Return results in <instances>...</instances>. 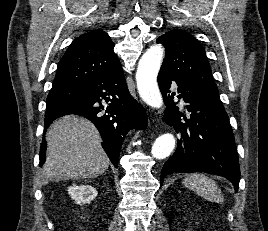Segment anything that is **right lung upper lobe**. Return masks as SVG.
<instances>
[{
  "instance_id": "right-lung-upper-lobe-1",
  "label": "right lung upper lobe",
  "mask_w": 268,
  "mask_h": 231,
  "mask_svg": "<svg viewBox=\"0 0 268 231\" xmlns=\"http://www.w3.org/2000/svg\"><path fill=\"white\" fill-rule=\"evenodd\" d=\"M113 49L114 43L102 30L79 36L61 58L52 88H84L92 80L106 74L120 63ZM52 106L55 105L48 107Z\"/></svg>"
}]
</instances>
